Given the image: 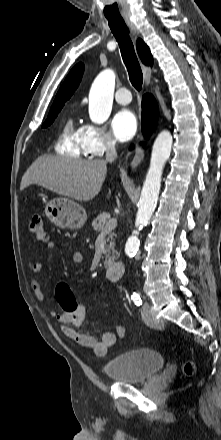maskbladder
Here are the masks:
<instances>
[{"mask_svg": "<svg viewBox=\"0 0 221 440\" xmlns=\"http://www.w3.org/2000/svg\"><path fill=\"white\" fill-rule=\"evenodd\" d=\"M164 357L149 348L135 349L103 364L105 375L118 383H140L149 380L163 368Z\"/></svg>", "mask_w": 221, "mask_h": 440, "instance_id": "bladder-1", "label": "bladder"}]
</instances>
